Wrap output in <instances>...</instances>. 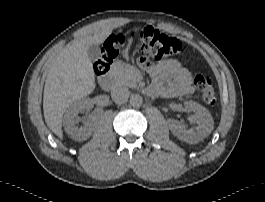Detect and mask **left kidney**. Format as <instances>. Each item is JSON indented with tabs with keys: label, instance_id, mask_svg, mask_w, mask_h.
Here are the masks:
<instances>
[{
	"label": "left kidney",
	"instance_id": "obj_1",
	"mask_svg": "<svg viewBox=\"0 0 265 202\" xmlns=\"http://www.w3.org/2000/svg\"><path fill=\"white\" fill-rule=\"evenodd\" d=\"M184 106L195 112L189 117L190 123L195 125V128L188 130L183 123L170 120L168 122L170 130L181 141L190 144L198 143L212 132L214 128L213 118L210 112L199 103L187 101Z\"/></svg>",
	"mask_w": 265,
	"mask_h": 202
}]
</instances>
